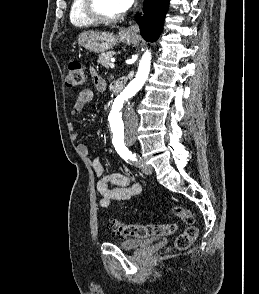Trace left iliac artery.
I'll return each instance as SVG.
<instances>
[{"label":"left iliac artery","mask_w":259,"mask_h":294,"mask_svg":"<svg viewBox=\"0 0 259 294\" xmlns=\"http://www.w3.org/2000/svg\"><path fill=\"white\" fill-rule=\"evenodd\" d=\"M113 145L117 151V153L124 159L130 160L132 162L138 163V159L135 153H132L128 150V148L124 145V143L113 142Z\"/></svg>","instance_id":"left-iliac-artery-1"}]
</instances>
